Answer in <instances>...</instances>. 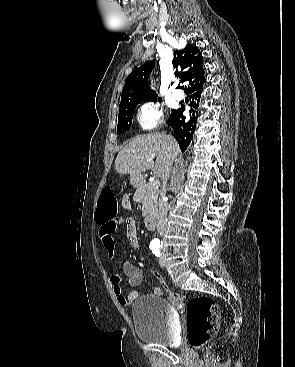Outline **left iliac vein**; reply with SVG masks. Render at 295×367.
<instances>
[{
    "mask_svg": "<svg viewBox=\"0 0 295 367\" xmlns=\"http://www.w3.org/2000/svg\"><path fill=\"white\" fill-rule=\"evenodd\" d=\"M159 264L164 267L166 265V259H165V256L164 254L162 253L160 258H159Z\"/></svg>",
    "mask_w": 295,
    "mask_h": 367,
    "instance_id": "1",
    "label": "left iliac vein"
}]
</instances>
